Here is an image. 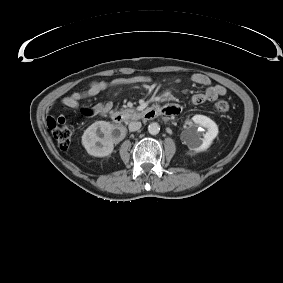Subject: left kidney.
Here are the masks:
<instances>
[{
  "label": "left kidney",
  "instance_id": "left-kidney-1",
  "mask_svg": "<svg viewBox=\"0 0 283 283\" xmlns=\"http://www.w3.org/2000/svg\"><path fill=\"white\" fill-rule=\"evenodd\" d=\"M206 128V132L204 129ZM218 134L217 124L207 116L195 115L186 129L185 143L190 150L200 152L207 150Z\"/></svg>",
  "mask_w": 283,
  "mask_h": 283
}]
</instances>
